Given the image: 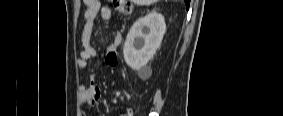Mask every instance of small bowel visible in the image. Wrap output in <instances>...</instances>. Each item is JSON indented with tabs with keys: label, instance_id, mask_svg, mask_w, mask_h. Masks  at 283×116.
<instances>
[{
	"label": "small bowel",
	"instance_id": "1",
	"mask_svg": "<svg viewBox=\"0 0 283 116\" xmlns=\"http://www.w3.org/2000/svg\"><path fill=\"white\" fill-rule=\"evenodd\" d=\"M86 10L83 13V28H82V46L83 49L77 59V64L80 68H85L89 60L93 59L97 55L96 49L91 45L90 40L94 30V23L97 16L103 21H108L111 18V12L109 8L101 6L98 0H84L83 1ZM122 34L117 31L114 37V41L106 49V62L113 66L117 62L116 52L121 44ZM80 103L83 107L94 106L101 98V89L93 84L84 83L79 87ZM113 102H116L114 99ZM123 116H132L131 109H126Z\"/></svg>",
	"mask_w": 283,
	"mask_h": 116
}]
</instances>
